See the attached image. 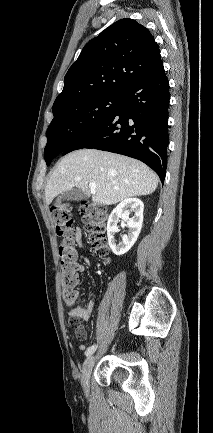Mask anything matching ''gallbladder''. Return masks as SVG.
<instances>
[{
  "label": "gallbladder",
  "instance_id": "gallbladder-1",
  "mask_svg": "<svg viewBox=\"0 0 213 433\" xmlns=\"http://www.w3.org/2000/svg\"><path fill=\"white\" fill-rule=\"evenodd\" d=\"M86 197V194L78 189H70L67 190L63 193H61L57 199H56V203H59L62 200H67V201H79L82 200Z\"/></svg>",
  "mask_w": 213,
  "mask_h": 433
}]
</instances>
